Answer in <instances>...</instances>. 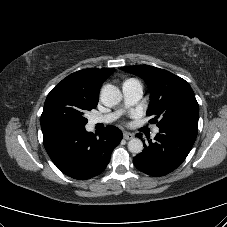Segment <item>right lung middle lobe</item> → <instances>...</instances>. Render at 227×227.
<instances>
[{
  "instance_id": "1",
  "label": "right lung middle lobe",
  "mask_w": 227,
  "mask_h": 227,
  "mask_svg": "<svg viewBox=\"0 0 227 227\" xmlns=\"http://www.w3.org/2000/svg\"><path fill=\"white\" fill-rule=\"evenodd\" d=\"M96 106V102L56 86L44 104L40 119L42 132L57 128L83 129L88 121L84 114Z\"/></svg>"
}]
</instances>
